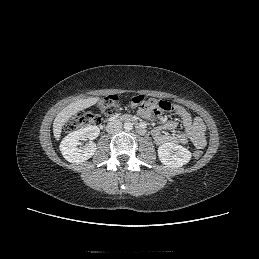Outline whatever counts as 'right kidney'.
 Returning <instances> with one entry per match:
<instances>
[{
  "mask_svg": "<svg viewBox=\"0 0 259 259\" xmlns=\"http://www.w3.org/2000/svg\"><path fill=\"white\" fill-rule=\"evenodd\" d=\"M100 129L97 126H88L68 134L60 143V151L63 157L71 163H81L91 158L97 147L93 141L81 145L80 140H94L99 136Z\"/></svg>",
  "mask_w": 259,
  "mask_h": 259,
  "instance_id": "1",
  "label": "right kidney"
}]
</instances>
